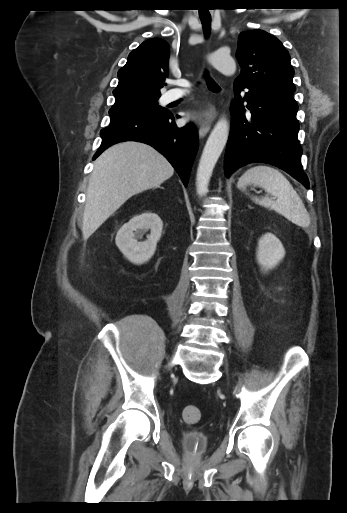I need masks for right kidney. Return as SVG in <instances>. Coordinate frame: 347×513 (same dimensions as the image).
Here are the masks:
<instances>
[{"mask_svg": "<svg viewBox=\"0 0 347 513\" xmlns=\"http://www.w3.org/2000/svg\"><path fill=\"white\" fill-rule=\"evenodd\" d=\"M151 232L142 241L146 230ZM163 221L152 212H146L133 217L117 232L115 242L123 255L134 264L147 262L155 253L157 242L161 238Z\"/></svg>", "mask_w": 347, "mask_h": 513, "instance_id": "ca27d5eb", "label": "right kidney"}]
</instances>
